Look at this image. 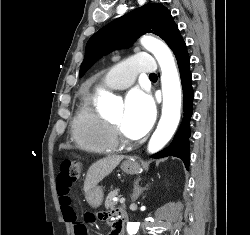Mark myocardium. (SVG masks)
Here are the masks:
<instances>
[{"instance_id": "f54148a6", "label": "myocardium", "mask_w": 250, "mask_h": 235, "mask_svg": "<svg viewBox=\"0 0 250 235\" xmlns=\"http://www.w3.org/2000/svg\"><path fill=\"white\" fill-rule=\"evenodd\" d=\"M107 122L110 124V126L112 127L114 133H115V136L117 137L118 140H120L121 142H124V143H129L131 142L132 140L127 137L123 131V129L121 128V126H119L118 124L110 121V120H107Z\"/></svg>"}]
</instances>
